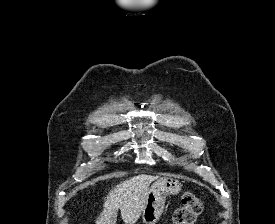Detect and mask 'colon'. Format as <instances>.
Listing matches in <instances>:
<instances>
[{
  "label": "colon",
  "mask_w": 275,
  "mask_h": 224,
  "mask_svg": "<svg viewBox=\"0 0 275 224\" xmlns=\"http://www.w3.org/2000/svg\"><path fill=\"white\" fill-rule=\"evenodd\" d=\"M202 210V201L197 196L186 193L181 198V206L173 214V224H193Z\"/></svg>",
  "instance_id": "5ec220e1"
}]
</instances>
